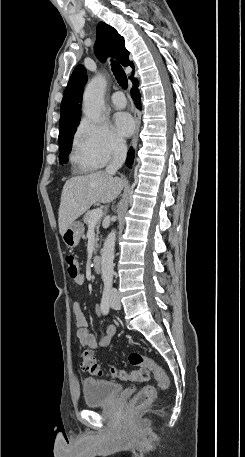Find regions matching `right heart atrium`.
<instances>
[{"instance_id":"obj_1","label":"right heart atrium","mask_w":245,"mask_h":457,"mask_svg":"<svg viewBox=\"0 0 245 457\" xmlns=\"http://www.w3.org/2000/svg\"><path fill=\"white\" fill-rule=\"evenodd\" d=\"M78 137L87 153L100 165L120 155L125 149L124 140L104 121L84 118L79 126Z\"/></svg>"}]
</instances>
